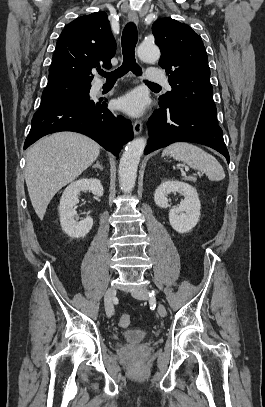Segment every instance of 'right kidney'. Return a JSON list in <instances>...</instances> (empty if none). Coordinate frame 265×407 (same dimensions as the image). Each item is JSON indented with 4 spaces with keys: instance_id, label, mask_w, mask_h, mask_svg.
<instances>
[{
    "instance_id": "right-kidney-1",
    "label": "right kidney",
    "mask_w": 265,
    "mask_h": 407,
    "mask_svg": "<svg viewBox=\"0 0 265 407\" xmlns=\"http://www.w3.org/2000/svg\"><path fill=\"white\" fill-rule=\"evenodd\" d=\"M90 190L95 196H103V186L100 180L96 178L80 179L72 182L64 191L60 205L58 207L60 224L62 230L71 238H80L86 236L93 226V219L87 216L85 219L77 222L75 220L76 211L74 206L79 202L78 195L81 191Z\"/></svg>"
}]
</instances>
